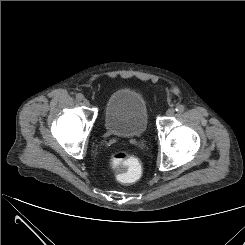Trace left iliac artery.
<instances>
[{
    "label": "left iliac artery",
    "instance_id": "1",
    "mask_svg": "<svg viewBox=\"0 0 245 245\" xmlns=\"http://www.w3.org/2000/svg\"><path fill=\"white\" fill-rule=\"evenodd\" d=\"M184 109H185L184 105H181V104L177 105L175 108L176 112L178 113H182Z\"/></svg>",
    "mask_w": 245,
    "mask_h": 245
}]
</instances>
